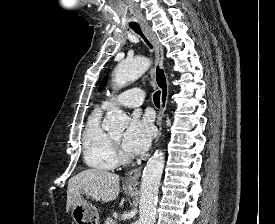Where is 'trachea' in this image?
Here are the masks:
<instances>
[{"instance_id":"3493384b","label":"trachea","mask_w":275,"mask_h":224,"mask_svg":"<svg viewBox=\"0 0 275 224\" xmlns=\"http://www.w3.org/2000/svg\"><path fill=\"white\" fill-rule=\"evenodd\" d=\"M131 28H132L136 33H138V34L144 39V41L147 43V45H148L150 48H152L150 42L147 40V38H146V37L144 36V34L142 33V31H141L139 25H133V26H131ZM153 101H154L155 105H156L157 107H159V105H160V91H157V92L153 95Z\"/></svg>"}]
</instances>
